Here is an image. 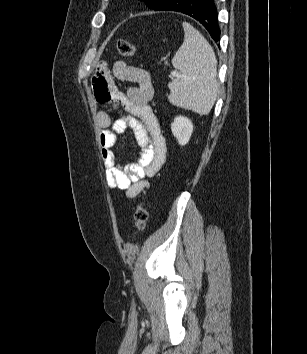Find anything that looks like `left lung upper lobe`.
Masks as SVG:
<instances>
[{
  "label": "left lung upper lobe",
  "instance_id": "5c2ea615",
  "mask_svg": "<svg viewBox=\"0 0 307 354\" xmlns=\"http://www.w3.org/2000/svg\"><path fill=\"white\" fill-rule=\"evenodd\" d=\"M143 1L149 8L154 10H159L169 2V0H143Z\"/></svg>",
  "mask_w": 307,
  "mask_h": 354
}]
</instances>
